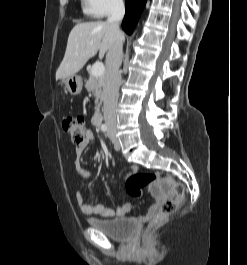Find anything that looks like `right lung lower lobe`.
<instances>
[{
  "mask_svg": "<svg viewBox=\"0 0 247 265\" xmlns=\"http://www.w3.org/2000/svg\"><path fill=\"white\" fill-rule=\"evenodd\" d=\"M147 0H126V13L122 22V28L127 34H131L138 22Z\"/></svg>",
  "mask_w": 247,
  "mask_h": 265,
  "instance_id": "obj_1",
  "label": "right lung lower lobe"
}]
</instances>
